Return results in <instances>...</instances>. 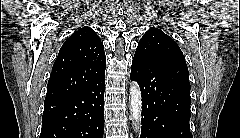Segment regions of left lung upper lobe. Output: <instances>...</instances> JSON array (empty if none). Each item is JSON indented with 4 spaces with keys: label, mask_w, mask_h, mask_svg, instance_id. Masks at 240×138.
Here are the masks:
<instances>
[{
    "label": "left lung upper lobe",
    "mask_w": 240,
    "mask_h": 138,
    "mask_svg": "<svg viewBox=\"0 0 240 138\" xmlns=\"http://www.w3.org/2000/svg\"><path fill=\"white\" fill-rule=\"evenodd\" d=\"M134 57L146 62H177L186 65L183 53L176 42L157 28H150L143 35Z\"/></svg>",
    "instance_id": "1"
}]
</instances>
